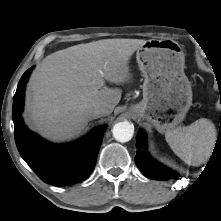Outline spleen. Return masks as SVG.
<instances>
[{"mask_svg":"<svg viewBox=\"0 0 221 221\" xmlns=\"http://www.w3.org/2000/svg\"><path fill=\"white\" fill-rule=\"evenodd\" d=\"M165 138L179 158L188 165L198 166L205 163L211 155L216 129L209 119L201 118L189 126L167 130Z\"/></svg>","mask_w":221,"mask_h":221,"instance_id":"obj_1","label":"spleen"}]
</instances>
